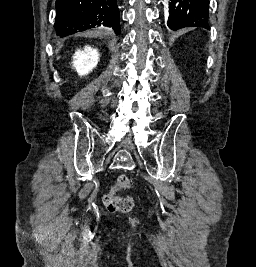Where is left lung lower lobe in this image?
<instances>
[{
  "label": "left lung lower lobe",
  "mask_w": 256,
  "mask_h": 267,
  "mask_svg": "<svg viewBox=\"0 0 256 267\" xmlns=\"http://www.w3.org/2000/svg\"><path fill=\"white\" fill-rule=\"evenodd\" d=\"M179 1L180 0H171L169 3V21H168V26L172 30H176L182 27H188V24H186L185 19L181 18L178 16V14H175V11H178L179 9Z\"/></svg>",
  "instance_id": "left-lung-lower-lobe-1"
}]
</instances>
